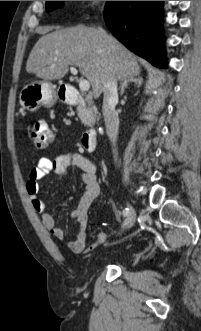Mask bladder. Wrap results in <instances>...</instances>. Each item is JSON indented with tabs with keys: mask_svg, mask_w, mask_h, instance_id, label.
I'll use <instances>...</instances> for the list:
<instances>
[{
	"mask_svg": "<svg viewBox=\"0 0 201 331\" xmlns=\"http://www.w3.org/2000/svg\"><path fill=\"white\" fill-rule=\"evenodd\" d=\"M101 263L106 264V263H108V260H103Z\"/></svg>",
	"mask_w": 201,
	"mask_h": 331,
	"instance_id": "1",
	"label": "bladder"
}]
</instances>
